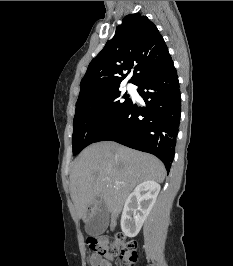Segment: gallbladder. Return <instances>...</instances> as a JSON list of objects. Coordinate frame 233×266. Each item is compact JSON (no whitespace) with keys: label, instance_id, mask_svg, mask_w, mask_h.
Instances as JSON below:
<instances>
[{"label":"gallbladder","instance_id":"1","mask_svg":"<svg viewBox=\"0 0 233 266\" xmlns=\"http://www.w3.org/2000/svg\"><path fill=\"white\" fill-rule=\"evenodd\" d=\"M86 222L85 230L89 235H101L107 229L109 222L105 203H100L95 213Z\"/></svg>","mask_w":233,"mask_h":266}]
</instances>
